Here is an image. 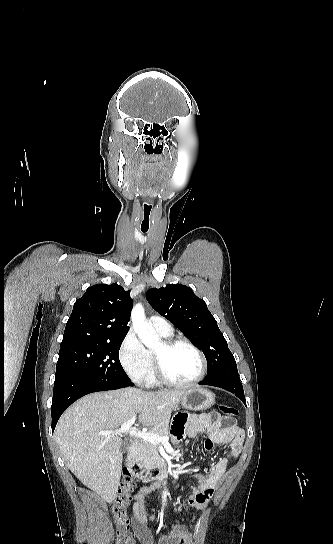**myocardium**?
I'll list each match as a JSON object with an SVG mask.
<instances>
[{
  "mask_svg": "<svg viewBox=\"0 0 333 544\" xmlns=\"http://www.w3.org/2000/svg\"><path fill=\"white\" fill-rule=\"evenodd\" d=\"M163 345H164V347L166 349H173V348H175L177 346H180V345H184V346H187V347L191 348L200 358L201 370H200L199 374L190 381L176 382V381L170 379L166 375V373L164 371V368H163V365H162L161 358L154 353L153 354L154 372H155V377H156L158 382H160V383H162L164 385L170 386V387H174V388H185V387L194 386L197 383L201 382L205 378V376L207 374V371H208V361H207V358H206L205 354L203 353V351L201 349H199L195 344H193L189 340L183 339V338H168V339L163 341Z\"/></svg>",
  "mask_w": 333,
  "mask_h": 544,
  "instance_id": "obj_1",
  "label": "myocardium"
}]
</instances>
